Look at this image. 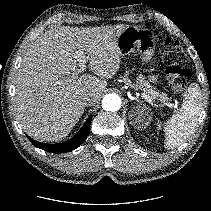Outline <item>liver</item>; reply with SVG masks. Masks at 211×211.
Listing matches in <instances>:
<instances>
[{
    "label": "liver",
    "mask_w": 211,
    "mask_h": 211,
    "mask_svg": "<svg viewBox=\"0 0 211 211\" xmlns=\"http://www.w3.org/2000/svg\"><path fill=\"white\" fill-rule=\"evenodd\" d=\"M126 27L61 26L36 39L15 77V114L29 136L59 142L69 135L85 110L80 97L91 94L94 104L118 71L117 38ZM77 51L95 75L75 73Z\"/></svg>",
    "instance_id": "1"
}]
</instances>
